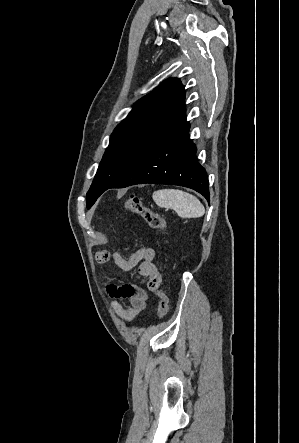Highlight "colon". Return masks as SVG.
Listing matches in <instances>:
<instances>
[{
    "mask_svg": "<svg viewBox=\"0 0 299 443\" xmlns=\"http://www.w3.org/2000/svg\"><path fill=\"white\" fill-rule=\"evenodd\" d=\"M123 208L128 212L140 216L153 229L165 230L166 228V223L163 217L146 207L138 195L131 194L124 201ZM156 295L159 300L158 318L161 319L168 312V300L161 290H157Z\"/></svg>",
    "mask_w": 299,
    "mask_h": 443,
    "instance_id": "obj_1",
    "label": "colon"
}]
</instances>
